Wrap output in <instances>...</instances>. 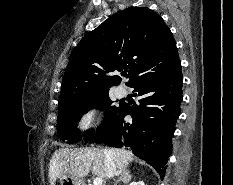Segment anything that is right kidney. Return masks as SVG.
I'll use <instances>...</instances> for the list:
<instances>
[{
	"label": "right kidney",
	"mask_w": 233,
	"mask_h": 185,
	"mask_svg": "<svg viewBox=\"0 0 233 185\" xmlns=\"http://www.w3.org/2000/svg\"><path fill=\"white\" fill-rule=\"evenodd\" d=\"M129 185H145L143 181L132 182Z\"/></svg>",
	"instance_id": "right-kidney-1"
}]
</instances>
